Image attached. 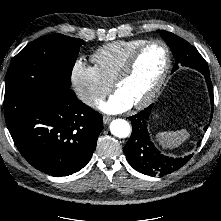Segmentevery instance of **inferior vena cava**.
Returning <instances> with one entry per match:
<instances>
[{
  "label": "inferior vena cava",
  "mask_w": 221,
  "mask_h": 221,
  "mask_svg": "<svg viewBox=\"0 0 221 221\" xmlns=\"http://www.w3.org/2000/svg\"><path fill=\"white\" fill-rule=\"evenodd\" d=\"M98 98V95L94 92H85L81 95V100L87 105L94 104L95 100Z\"/></svg>",
  "instance_id": "obj_1"
}]
</instances>
